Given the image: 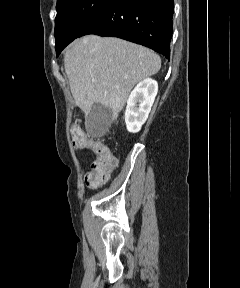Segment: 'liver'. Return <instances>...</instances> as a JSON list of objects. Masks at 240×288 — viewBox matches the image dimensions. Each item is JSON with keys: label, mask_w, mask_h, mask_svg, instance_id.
<instances>
[{"label": "liver", "mask_w": 240, "mask_h": 288, "mask_svg": "<svg viewBox=\"0 0 240 288\" xmlns=\"http://www.w3.org/2000/svg\"><path fill=\"white\" fill-rule=\"evenodd\" d=\"M64 66L76 105L88 115L101 104L112 109L116 121L132 88L160 70L161 58L119 38L88 35L66 48Z\"/></svg>", "instance_id": "liver-1"}]
</instances>
